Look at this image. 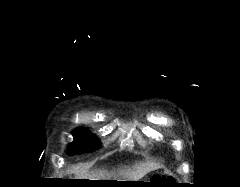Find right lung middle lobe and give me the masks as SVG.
Instances as JSON below:
<instances>
[{"label": "right lung middle lobe", "mask_w": 240, "mask_h": 187, "mask_svg": "<svg viewBox=\"0 0 240 187\" xmlns=\"http://www.w3.org/2000/svg\"><path fill=\"white\" fill-rule=\"evenodd\" d=\"M75 140L69 144V154H82L91 152L98 147L97 138L85 129L75 131Z\"/></svg>", "instance_id": "right-lung-middle-lobe-1"}]
</instances>
